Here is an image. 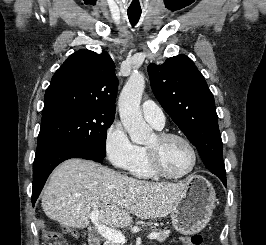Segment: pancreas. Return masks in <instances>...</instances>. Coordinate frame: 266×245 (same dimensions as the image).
I'll return each mask as SVG.
<instances>
[{"label":"pancreas","instance_id":"1","mask_svg":"<svg viewBox=\"0 0 266 245\" xmlns=\"http://www.w3.org/2000/svg\"><path fill=\"white\" fill-rule=\"evenodd\" d=\"M152 233H157V239L158 243H163V241H166L167 237H169L170 231H162V229H154Z\"/></svg>","mask_w":266,"mask_h":245}]
</instances>
